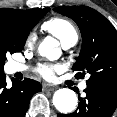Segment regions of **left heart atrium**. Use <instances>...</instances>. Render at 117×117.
Masks as SVG:
<instances>
[{"label":"left heart atrium","mask_w":117,"mask_h":117,"mask_svg":"<svg viewBox=\"0 0 117 117\" xmlns=\"http://www.w3.org/2000/svg\"><path fill=\"white\" fill-rule=\"evenodd\" d=\"M59 69L58 65L42 63L36 67V72L44 79H52L54 73Z\"/></svg>","instance_id":"obj_1"}]
</instances>
